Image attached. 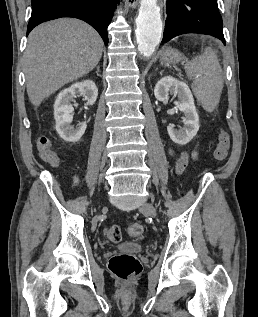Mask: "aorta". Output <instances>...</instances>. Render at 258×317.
Returning a JSON list of instances; mask_svg holds the SVG:
<instances>
[{"label":"aorta","instance_id":"1","mask_svg":"<svg viewBox=\"0 0 258 317\" xmlns=\"http://www.w3.org/2000/svg\"><path fill=\"white\" fill-rule=\"evenodd\" d=\"M136 26L138 51L144 57H150L162 35L163 23L158 0H141Z\"/></svg>","mask_w":258,"mask_h":317}]
</instances>
